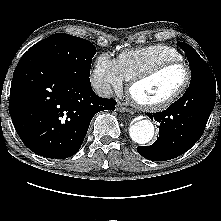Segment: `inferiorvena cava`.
<instances>
[{
	"instance_id": "obj_1",
	"label": "inferior vena cava",
	"mask_w": 221,
	"mask_h": 221,
	"mask_svg": "<svg viewBox=\"0 0 221 221\" xmlns=\"http://www.w3.org/2000/svg\"><path fill=\"white\" fill-rule=\"evenodd\" d=\"M95 92L105 98H109L113 95V90L108 83H101L95 85Z\"/></svg>"
}]
</instances>
